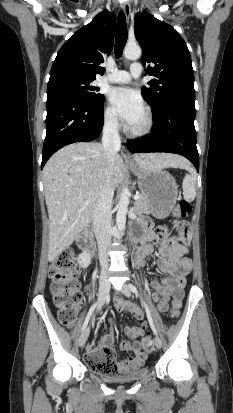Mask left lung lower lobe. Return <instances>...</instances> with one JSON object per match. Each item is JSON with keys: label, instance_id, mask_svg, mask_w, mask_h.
I'll use <instances>...</instances> for the list:
<instances>
[{"label": "left lung lower lobe", "instance_id": "obj_1", "mask_svg": "<svg viewBox=\"0 0 233 413\" xmlns=\"http://www.w3.org/2000/svg\"><path fill=\"white\" fill-rule=\"evenodd\" d=\"M154 113L157 122L152 133L128 142L130 152L180 154L189 159L198 172L199 155L194 127L195 108L176 103L165 106Z\"/></svg>", "mask_w": 233, "mask_h": 413}]
</instances>
